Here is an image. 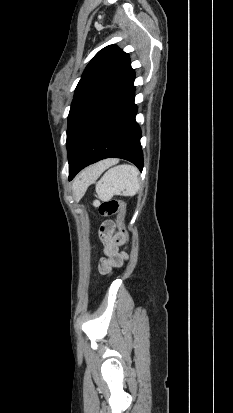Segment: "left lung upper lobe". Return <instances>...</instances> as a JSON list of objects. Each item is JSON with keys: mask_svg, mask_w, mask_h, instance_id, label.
<instances>
[{"mask_svg": "<svg viewBox=\"0 0 233 413\" xmlns=\"http://www.w3.org/2000/svg\"><path fill=\"white\" fill-rule=\"evenodd\" d=\"M131 71L129 55L116 45L103 48L89 62L75 89L68 116L69 162L91 121L112 99Z\"/></svg>", "mask_w": 233, "mask_h": 413, "instance_id": "1", "label": "left lung upper lobe"}]
</instances>
